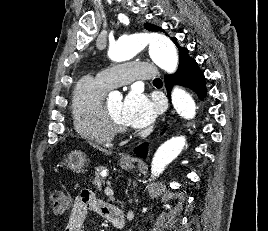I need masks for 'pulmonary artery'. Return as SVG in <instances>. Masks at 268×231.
<instances>
[{
    "label": "pulmonary artery",
    "mask_w": 268,
    "mask_h": 231,
    "mask_svg": "<svg viewBox=\"0 0 268 231\" xmlns=\"http://www.w3.org/2000/svg\"><path fill=\"white\" fill-rule=\"evenodd\" d=\"M97 78L107 87L126 84L133 79L152 81L156 79L155 67L144 62H132L123 66H112L97 74Z\"/></svg>",
    "instance_id": "e3ab8cb5"
}]
</instances>
